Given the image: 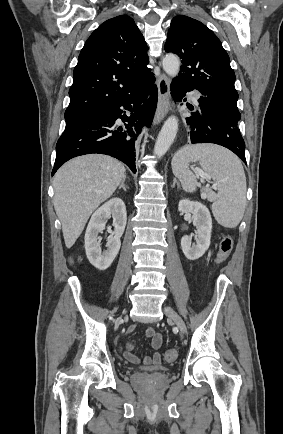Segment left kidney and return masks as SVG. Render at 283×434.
<instances>
[{
	"instance_id": "5707ae66",
	"label": "left kidney",
	"mask_w": 283,
	"mask_h": 434,
	"mask_svg": "<svg viewBox=\"0 0 283 434\" xmlns=\"http://www.w3.org/2000/svg\"><path fill=\"white\" fill-rule=\"evenodd\" d=\"M178 210L181 213L190 212L193 215V225L196 227L194 236L196 244L192 243L191 236L181 238V248L189 260H196L204 255L210 246L212 218L208 208L198 201L180 200Z\"/></svg>"
}]
</instances>
